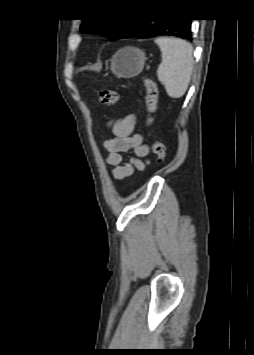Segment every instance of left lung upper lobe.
<instances>
[{
    "label": "left lung upper lobe",
    "mask_w": 254,
    "mask_h": 355,
    "mask_svg": "<svg viewBox=\"0 0 254 355\" xmlns=\"http://www.w3.org/2000/svg\"><path fill=\"white\" fill-rule=\"evenodd\" d=\"M131 19L132 18L84 20L80 30L83 33H100L112 41L122 35Z\"/></svg>",
    "instance_id": "obj_1"
}]
</instances>
